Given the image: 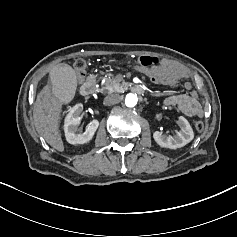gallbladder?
I'll return each instance as SVG.
<instances>
[{
    "instance_id": "gallbladder-1",
    "label": "gallbladder",
    "mask_w": 237,
    "mask_h": 237,
    "mask_svg": "<svg viewBox=\"0 0 237 237\" xmlns=\"http://www.w3.org/2000/svg\"><path fill=\"white\" fill-rule=\"evenodd\" d=\"M51 88L61 104L71 103L75 97L77 79L71 66L59 64L51 72Z\"/></svg>"
}]
</instances>
